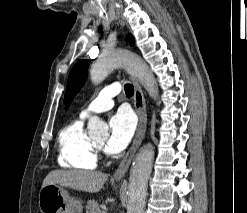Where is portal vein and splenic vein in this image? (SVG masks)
I'll return each mask as SVG.
<instances>
[{"instance_id": "portal-vein-and-splenic-vein-1", "label": "portal vein and splenic vein", "mask_w": 247, "mask_h": 213, "mask_svg": "<svg viewBox=\"0 0 247 213\" xmlns=\"http://www.w3.org/2000/svg\"><path fill=\"white\" fill-rule=\"evenodd\" d=\"M102 213H106V211H102Z\"/></svg>"}]
</instances>
